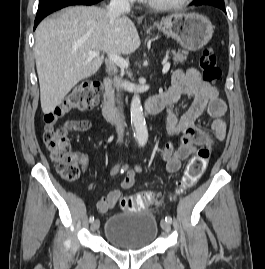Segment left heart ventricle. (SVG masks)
<instances>
[{
	"label": "left heart ventricle",
	"mask_w": 265,
	"mask_h": 269,
	"mask_svg": "<svg viewBox=\"0 0 265 269\" xmlns=\"http://www.w3.org/2000/svg\"><path fill=\"white\" fill-rule=\"evenodd\" d=\"M155 1H159V2H173V1H178V0H155Z\"/></svg>",
	"instance_id": "b2bd125f"
}]
</instances>
